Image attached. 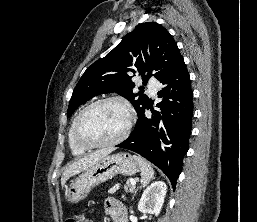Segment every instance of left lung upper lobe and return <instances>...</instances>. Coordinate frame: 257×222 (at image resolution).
<instances>
[{
	"label": "left lung upper lobe",
	"mask_w": 257,
	"mask_h": 222,
	"mask_svg": "<svg viewBox=\"0 0 257 222\" xmlns=\"http://www.w3.org/2000/svg\"><path fill=\"white\" fill-rule=\"evenodd\" d=\"M181 58L176 42L165 28L156 22L139 24L104 58L87 68L73 91L67 117L94 96L111 92L129 100L138 114L146 107L148 96L133 93L131 74L142 75L144 84L153 72L160 80Z\"/></svg>",
	"instance_id": "5c2ea615"
}]
</instances>
